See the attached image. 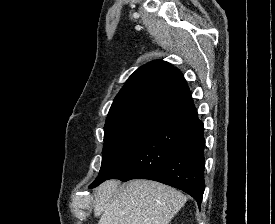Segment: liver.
Listing matches in <instances>:
<instances>
[{"instance_id":"6515ba94","label":"liver","mask_w":275,"mask_h":224,"mask_svg":"<svg viewBox=\"0 0 275 224\" xmlns=\"http://www.w3.org/2000/svg\"><path fill=\"white\" fill-rule=\"evenodd\" d=\"M108 180L97 189L94 215L98 224H169L187 197L180 191L150 180H132L118 189Z\"/></svg>"}]
</instances>
